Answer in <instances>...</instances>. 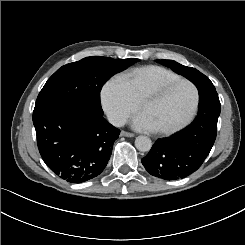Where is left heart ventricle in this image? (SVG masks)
Masks as SVG:
<instances>
[{
  "label": "left heart ventricle",
  "mask_w": 245,
  "mask_h": 245,
  "mask_svg": "<svg viewBox=\"0 0 245 245\" xmlns=\"http://www.w3.org/2000/svg\"><path fill=\"white\" fill-rule=\"evenodd\" d=\"M192 102L190 88L180 84L166 92H154L139 107L155 128H168L180 122L188 113Z\"/></svg>",
  "instance_id": "left-heart-ventricle-1"
}]
</instances>
